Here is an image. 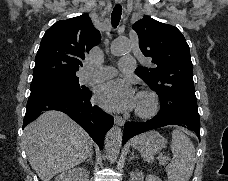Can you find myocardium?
<instances>
[{
    "label": "myocardium",
    "mask_w": 228,
    "mask_h": 181,
    "mask_svg": "<svg viewBox=\"0 0 228 181\" xmlns=\"http://www.w3.org/2000/svg\"><path fill=\"white\" fill-rule=\"evenodd\" d=\"M142 100L147 101V105L142 106ZM159 107L158 96L152 91H141L138 94L137 115L144 118H150L155 115Z\"/></svg>",
    "instance_id": "1"
}]
</instances>
